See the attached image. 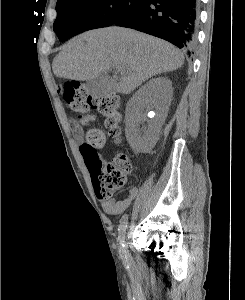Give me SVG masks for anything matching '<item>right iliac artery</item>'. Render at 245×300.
Here are the masks:
<instances>
[{
    "instance_id": "obj_1",
    "label": "right iliac artery",
    "mask_w": 245,
    "mask_h": 300,
    "mask_svg": "<svg viewBox=\"0 0 245 300\" xmlns=\"http://www.w3.org/2000/svg\"><path fill=\"white\" fill-rule=\"evenodd\" d=\"M127 224H128V215L124 214L122 216V218L120 219V224L118 227V231H119L118 239L120 241L119 252H120L122 258H124L126 256L125 255L126 251H125V243H124V234L127 229Z\"/></svg>"
}]
</instances>
